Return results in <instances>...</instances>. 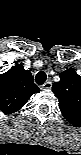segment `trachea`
Masks as SVG:
<instances>
[{
	"instance_id": "obj_1",
	"label": "trachea",
	"mask_w": 81,
	"mask_h": 155,
	"mask_svg": "<svg viewBox=\"0 0 81 155\" xmlns=\"http://www.w3.org/2000/svg\"><path fill=\"white\" fill-rule=\"evenodd\" d=\"M46 79H47V76H46L45 72L40 71V72H38L36 74L35 80H36V83L38 85L44 84V82L46 81Z\"/></svg>"
}]
</instances>
